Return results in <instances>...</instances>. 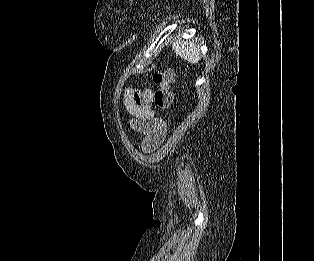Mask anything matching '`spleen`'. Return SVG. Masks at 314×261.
I'll use <instances>...</instances> for the list:
<instances>
[{
    "label": "spleen",
    "mask_w": 314,
    "mask_h": 261,
    "mask_svg": "<svg viewBox=\"0 0 314 261\" xmlns=\"http://www.w3.org/2000/svg\"><path fill=\"white\" fill-rule=\"evenodd\" d=\"M172 48L177 55L191 64H196L201 60L200 47L192 41L183 43L174 41L172 43Z\"/></svg>",
    "instance_id": "1"
}]
</instances>
